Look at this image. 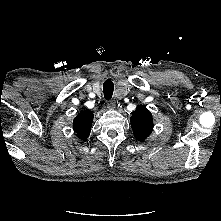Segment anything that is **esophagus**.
<instances>
[{
	"instance_id": "esophagus-1",
	"label": "esophagus",
	"mask_w": 221,
	"mask_h": 221,
	"mask_svg": "<svg viewBox=\"0 0 221 221\" xmlns=\"http://www.w3.org/2000/svg\"><path fill=\"white\" fill-rule=\"evenodd\" d=\"M107 107L111 110L115 109V107H116L115 101L114 100H108L107 101Z\"/></svg>"
}]
</instances>
